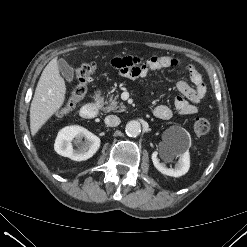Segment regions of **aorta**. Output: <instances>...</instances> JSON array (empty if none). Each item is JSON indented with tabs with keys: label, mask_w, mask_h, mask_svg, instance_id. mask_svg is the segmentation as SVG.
<instances>
[{
	"label": "aorta",
	"mask_w": 247,
	"mask_h": 247,
	"mask_svg": "<svg viewBox=\"0 0 247 247\" xmlns=\"http://www.w3.org/2000/svg\"><path fill=\"white\" fill-rule=\"evenodd\" d=\"M125 132L130 137H137L141 133V124L136 120L129 121L126 124Z\"/></svg>",
	"instance_id": "aorta-1"
}]
</instances>
